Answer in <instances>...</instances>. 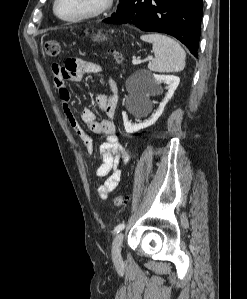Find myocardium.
I'll return each mask as SVG.
<instances>
[{"label":"myocardium","instance_id":"f54148a6","mask_svg":"<svg viewBox=\"0 0 247 299\" xmlns=\"http://www.w3.org/2000/svg\"><path fill=\"white\" fill-rule=\"evenodd\" d=\"M59 2H60V0H55L53 3L54 15L63 22L76 23V22H81V21L89 20V19L100 16L101 14L106 12L111 7L113 0H100L92 10H90L86 13H83L81 15H78L75 17H69V18L63 17L58 13L57 7H58Z\"/></svg>","mask_w":247,"mask_h":299}]
</instances>
